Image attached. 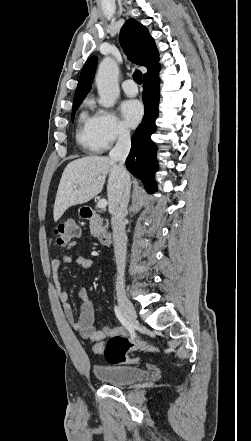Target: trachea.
Returning <instances> with one entry per match:
<instances>
[{"instance_id": "3493384b", "label": "trachea", "mask_w": 251, "mask_h": 441, "mask_svg": "<svg viewBox=\"0 0 251 441\" xmlns=\"http://www.w3.org/2000/svg\"><path fill=\"white\" fill-rule=\"evenodd\" d=\"M133 79L137 84H142V73L139 70H136L133 73Z\"/></svg>"}]
</instances>
